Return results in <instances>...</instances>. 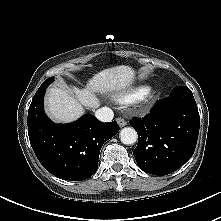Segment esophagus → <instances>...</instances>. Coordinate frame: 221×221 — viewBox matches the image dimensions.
<instances>
[{"instance_id":"34e87169","label":"esophagus","mask_w":221,"mask_h":221,"mask_svg":"<svg viewBox=\"0 0 221 221\" xmlns=\"http://www.w3.org/2000/svg\"><path fill=\"white\" fill-rule=\"evenodd\" d=\"M116 121L120 127H124L127 125V121L121 117L116 118Z\"/></svg>"}]
</instances>
